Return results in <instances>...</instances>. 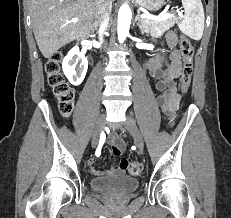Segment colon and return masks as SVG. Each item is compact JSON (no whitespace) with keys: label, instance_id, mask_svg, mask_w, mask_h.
Returning a JSON list of instances; mask_svg holds the SVG:
<instances>
[{"label":"colon","instance_id":"1","mask_svg":"<svg viewBox=\"0 0 231 218\" xmlns=\"http://www.w3.org/2000/svg\"><path fill=\"white\" fill-rule=\"evenodd\" d=\"M179 48L183 59V70L180 84L182 91L186 92L189 89L191 82L194 49L190 39L185 35L180 36ZM62 58L63 55L60 52L53 54L46 62L45 70L48 83L58 99L60 113L63 116H68L71 114L74 106V91L61 71ZM112 152L115 156H119L122 153V149L118 146H112ZM120 165L132 176H137L142 172V165L137 161L129 162L126 159H122Z\"/></svg>","mask_w":231,"mask_h":218}]
</instances>
